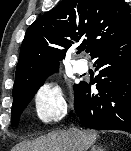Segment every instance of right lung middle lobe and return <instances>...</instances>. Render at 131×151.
Segmentation results:
<instances>
[{
    "label": "right lung middle lobe",
    "mask_w": 131,
    "mask_h": 151,
    "mask_svg": "<svg viewBox=\"0 0 131 151\" xmlns=\"http://www.w3.org/2000/svg\"><path fill=\"white\" fill-rule=\"evenodd\" d=\"M56 71V70H54ZM52 71V72H54ZM51 72L37 76L28 84L13 90L12 125L17 126L20 115ZM76 86V85H75ZM74 86V88H75Z\"/></svg>",
    "instance_id": "1"
}]
</instances>
